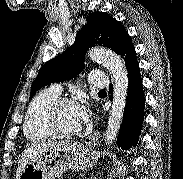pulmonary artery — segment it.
Returning <instances> with one entry per match:
<instances>
[{
	"label": "pulmonary artery",
	"instance_id": "1",
	"mask_svg": "<svg viewBox=\"0 0 183 179\" xmlns=\"http://www.w3.org/2000/svg\"><path fill=\"white\" fill-rule=\"evenodd\" d=\"M89 82L92 86L96 88H105L109 85L108 77L99 71H93L90 73ZM52 89L58 92L59 94L62 91V87L59 84H54L52 86Z\"/></svg>",
	"mask_w": 183,
	"mask_h": 179
}]
</instances>
